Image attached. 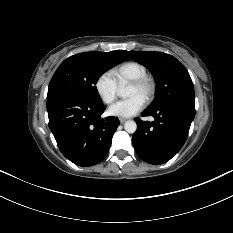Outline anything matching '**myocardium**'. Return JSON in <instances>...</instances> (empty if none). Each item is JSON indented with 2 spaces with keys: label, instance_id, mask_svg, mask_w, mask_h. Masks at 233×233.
Here are the masks:
<instances>
[{
  "label": "myocardium",
  "instance_id": "obj_1",
  "mask_svg": "<svg viewBox=\"0 0 233 233\" xmlns=\"http://www.w3.org/2000/svg\"><path fill=\"white\" fill-rule=\"evenodd\" d=\"M130 85L136 87L143 93V99L149 102L155 94V82L152 78L144 76L130 82Z\"/></svg>",
  "mask_w": 233,
  "mask_h": 233
}]
</instances>
